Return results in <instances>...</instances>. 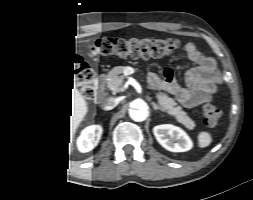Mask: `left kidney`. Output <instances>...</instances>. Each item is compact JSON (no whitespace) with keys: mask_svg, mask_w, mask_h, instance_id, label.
I'll return each mask as SVG.
<instances>
[{"mask_svg":"<svg viewBox=\"0 0 253 200\" xmlns=\"http://www.w3.org/2000/svg\"><path fill=\"white\" fill-rule=\"evenodd\" d=\"M193 125L191 121V126ZM153 133L157 141L168 151L185 152L193 147L190 137L181 128L172 124L155 126Z\"/></svg>","mask_w":253,"mask_h":200,"instance_id":"left-kidney-1","label":"left kidney"}]
</instances>
